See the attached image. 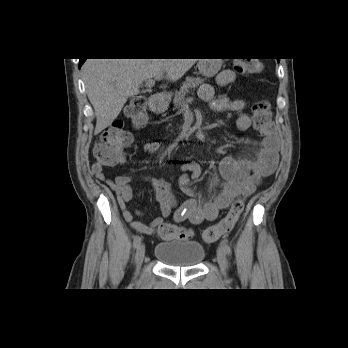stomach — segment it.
I'll return each instance as SVG.
<instances>
[{
    "mask_svg": "<svg viewBox=\"0 0 348 348\" xmlns=\"http://www.w3.org/2000/svg\"><path fill=\"white\" fill-rule=\"evenodd\" d=\"M222 65L221 59H199L198 61V70L200 74L205 77H213L218 73ZM168 98H166L159 107H166L168 105Z\"/></svg>",
    "mask_w": 348,
    "mask_h": 348,
    "instance_id": "stomach-1",
    "label": "stomach"
}]
</instances>
